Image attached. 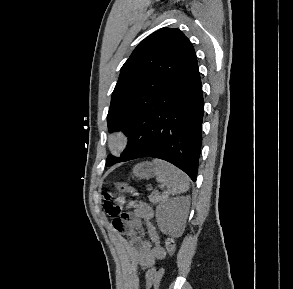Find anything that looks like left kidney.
Returning <instances> with one entry per match:
<instances>
[{
	"label": "left kidney",
	"instance_id": "left-kidney-1",
	"mask_svg": "<svg viewBox=\"0 0 293 289\" xmlns=\"http://www.w3.org/2000/svg\"><path fill=\"white\" fill-rule=\"evenodd\" d=\"M190 205L188 196L168 199L156 210L157 224L166 235L179 236L187 219Z\"/></svg>",
	"mask_w": 293,
	"mask_h": 289
}]
</instances>
